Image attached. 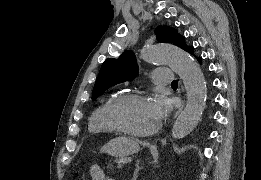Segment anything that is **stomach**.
Wrapping results in <instances>:
<instances>
[{
	"label": "stomach",
	"mask_w": 261,
	"mask_h": 180,
	"mask_svg": "<svg viewBox=\"0 0 261 180\" xmlns=\"http://www.w3.org/2000/svg\"><path fill=\"white\" fill-rule=\"evenodd\" d=\"M139 151V144L136 140L128 137H116L110 140L101 148L102 153L113 157H126Z\"/></svg>",
	"instance_id": "stomach-1"
}]
</instances>
